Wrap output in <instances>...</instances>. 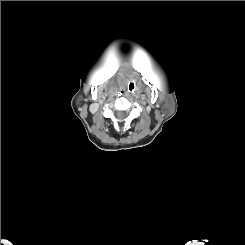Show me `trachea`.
<instances>
[{"mask_svg":"<svg viewBox=\"0 0 245 245\" xmlns=\"http://www.w3.org/2000/svg\"><path fill=\"white\" fill-rule=\"evenodd\" d=\"M127 89L130 93H133L136 90V83L133 80H130L127 83Z\"/></svg>","mask_w":245,"mask_h":245,"instance_id":"trachea-1","label":"trachea"}]
</instances>
